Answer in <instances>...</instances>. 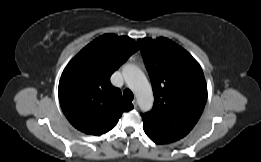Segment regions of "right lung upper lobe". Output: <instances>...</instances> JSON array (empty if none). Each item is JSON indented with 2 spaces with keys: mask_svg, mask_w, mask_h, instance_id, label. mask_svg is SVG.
I'll return each mask as SVG.
<instances>
[{
  "mask_svg": "<svg viewBox=\"0 0 261 162\" xmlns=\"http://www.w3.org/2000/svg\"><path fill=\"white\" fill-rule=\"evenodd\" d=\"M136 42L105 34L84 47L66 66L59 82V101L68 121L86 134L111 130L123 112L133 109L112 86L110 76L134 52Z\"/></svg>",
  "mask_w": 261,
  "mask_h": 162,
  "instance_id": "1",
  "label": "right lung upper lobe"
}]
</instances>
